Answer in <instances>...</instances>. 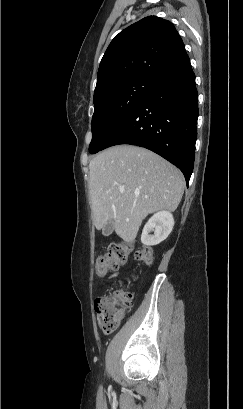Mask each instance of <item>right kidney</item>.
<instances>
[{"label":"right kidney","mask_w":243,"mask_h":409,"mask_svg":"<svg viewBox=\"0 0 243 409\" xmlns=\"http://www.w3.org/2000/svg\"><path fill=\"white\" fill-rule=\"evenodd\" d=\"M174 226V218L168 211H160L154 214L145 224L141 242L147 246H154L164 241L171 233ZM154 232L153 235L149 234Z\"/></svg>","instance_id":"right-kidney-1"}]
</instances>
